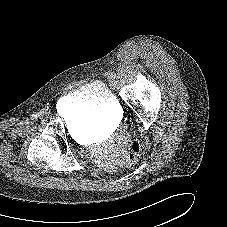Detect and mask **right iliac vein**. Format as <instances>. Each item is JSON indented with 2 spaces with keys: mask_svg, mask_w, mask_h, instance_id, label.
Returning <instances> with one entry per match:
<instances>
[{
  "mask_svg": "<svg viewBox=\"0 0 227 227\" xmlns=\"http://www.w3.org/2000/svg\"><path fill=\"white\" fill-rule=\"evenodd\" d=\"M43 116H44L43 114H40V118H43Z\"/></svg>",
  "mask_w": 227,
  "mask_h": 227,
  "instance_id": "1",
  "label": "right iliac vein"
}]
</instances>
